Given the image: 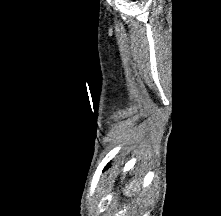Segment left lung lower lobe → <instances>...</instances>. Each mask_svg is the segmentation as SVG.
Returning a JSON list of instances; mask_svg holds the SVG:
<instances>
[{"instance_id":"left-lung-lower-lobe-1","label":"left lung lower lobe","mask_w":221,"mask_h":216,"mask_svg":"<svg viewBox=\"0 0 221 216\" xmlns=\"http://www.w3.org/2000/svg\"><path fill=\"white\" fill-rule=\"evenodd\" d=\"M109 164L105 167V168H108Z\"/></svg>"}]
</instances>
